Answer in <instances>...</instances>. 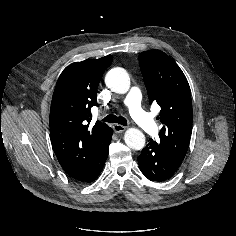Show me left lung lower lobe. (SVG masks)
Returning a JSON list of instances; mask_svg holds the SVG:
<instances>
[{
	"label": "left lung lower lobe",
	"instance_id": "obj_1",
	"mask_svg": "<svg viewBox=\"0 0 236 236\" xmlns=\"http://www.w3.org/2000/svg\"><path fill=\"white\" fill-rule=\"evenodd\" d=\"M181 163L182 160L170 155L150 139L138 157V164L142 173L149 180L158 182L172 177Z\"/></svg>",
	"mask_w": 236,
	"mask_h": 236
}]
</instances>
